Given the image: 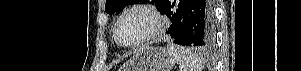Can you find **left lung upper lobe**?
Here are the masks:
<instances>
[{
    "label": "left lung upper lobe",
    "instance_id": "left-lung-upper-lobe-1",
    "mask_svg": "<svg viewBox=\"0 0 301 71\" xmlns=\"http://www.w3.org/2000/svg\"><path fill=\"white\" fill-rule=\"evenodd\" d=\"M138 0H106L105 4V11L109 14H113L116 12L117 14L120 13L128 4L132 2H136ZM149 1V0H147ZM160 10L163 9L167 0H152Z\"/></svg>",
    "mask_w": 301,
    "mask_h": 71
}]
</instances>
